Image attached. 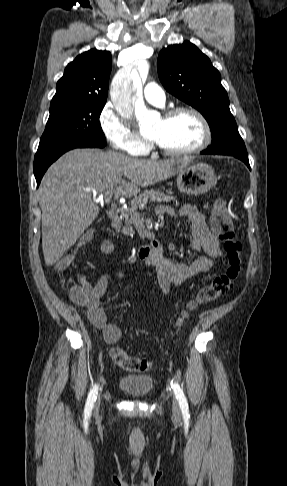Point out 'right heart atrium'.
<instances>
[{"label": "right heart atrium", "mask_w": 287, "mask_h": 486, "mask_svg": "<svg viewBox=\"0 0 287 486\" xmlns=\"http://www.w3.org/2000/svg\"><path fill=\"white\" fill-rule=\"evenodd\" d=\"M99 125L113 148L129 154H138L146 150L147 144L110 104H106L101 110Z\"/></svg>", "instance_id": "right-heart-atrium-1"}]
</instances>
